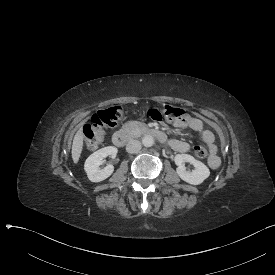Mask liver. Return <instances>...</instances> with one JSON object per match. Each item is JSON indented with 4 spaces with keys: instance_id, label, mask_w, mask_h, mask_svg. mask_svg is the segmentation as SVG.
I'll list each match as a JSON object with an SVG mask.
<instances>
[{
    "instance_id": "obj_1",
    "label": "liver",
    "mask_w": 275,
    "mask_h": 275,
    "mask_svg": "<svg viewBox=\"0 0 275 275\" xmlns=\"http://www.w3.org/2000/svg\"><path fill=\"white\" fill-rule=\"evenodd\" d=\"M83 148V134L82 128H80L74 136L73 144H72V159L74 163H78L80 154Z\"/></svg>"
}]
</instances>
